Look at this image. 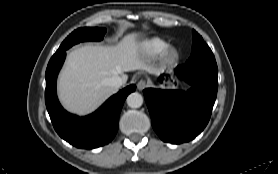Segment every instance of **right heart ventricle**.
I'll use <instances>...</instances> for the list:
<instances>
[{
	"label": "right heart ventricle",
	"instance_id": "1",
	"mask_svg": "<svg viewBox=\"0 0 278 174\" xmlns=\"http://www.w3.org/2000/svg\"><path fill=\"white\" fill-rule=\"evenodd\" d=\"M167 47L168 43L158 37L151 38L143 43V50L150 57L162 54Z\"/></svg>",
	"mask_w": 278,
	"mask_h": 174
}]
</instances>
